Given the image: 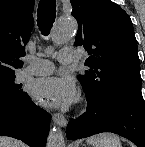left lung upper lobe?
<instances>
[{"label": "left lung upper lobe", "instance_id": "1", "mask_svg": "<svg viewBox=\"0 0 145 147\" xmlns=\"http://www.w3.org/2000/svg\"><path fill=\"white\" fill-rule=\"evenodd\" d=\"M76 46L90 55L79 75L87 101L99 104L119 91L141 88L137 40L129 15L111 0H71Z\"/></svg>", "mask_w": 145, "mask_h": 147}]
</instances>
